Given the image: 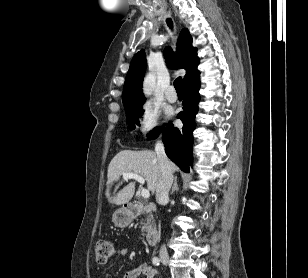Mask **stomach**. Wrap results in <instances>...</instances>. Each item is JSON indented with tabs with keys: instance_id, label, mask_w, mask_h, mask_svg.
I'll list each match as a JSON object with an SVG mask.
<instances>
[{
	"instance_id": "0dacf381",
	"label": "stomach",
	"mask_w": 308,
	"mask_h": 278,
	"mask_svg": "<svg viewBox=\"0 0 308 278\" xmlns=\"http://www.w3.org/2000/svg\"><path fill=\"white\" fill-rule=\"evenodd\" d=\"M112 221L117 227H126L131 221V214L127 208H121L114 212Z\"/></svg>"
}]
</instances>
